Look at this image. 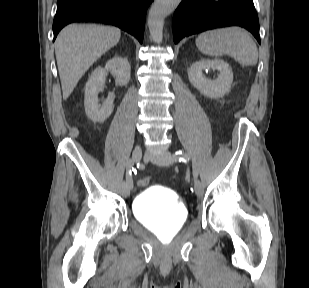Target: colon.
Listing matches in <instances>:
<instances>
[{"instance_id":"obj_1","label":"colon","mask_w":309,"mask_h":288,"mask_svg":"<svg viewBox=\"0 0 309 288\" xmlns=\"http://www.w3.org/2000/svg\"><path fill=\"white\" fill-rule=\"evenodd\" d=\"M150 178L149 177H143V178H140L139 180H138V185L140 186V187H145V186H147L149 183H150Z\"/></svg>"}]
</instances>
